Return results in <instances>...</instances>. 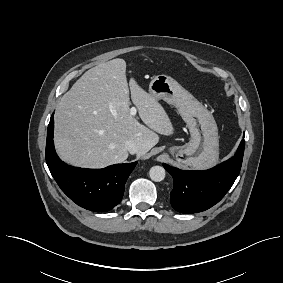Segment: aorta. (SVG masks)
Returning a JSON list of instances; mask_svg holds the SVG:
<instances>
[{"mask_svg":"<svg viewBox=\"0 0 283 283\" xmlns=\"http://www.w3.org/2000/svg\"><path fill=\"white\" fill-rule=\"evenodd\" d=\"M165 169L161 166H153L149 171V176L152 181L160 182L165 178Z\"/></svg>","mask_w":283,"mask_h":283,"instance_id":"aorta-1","label":"aorta"}]
</instances>
